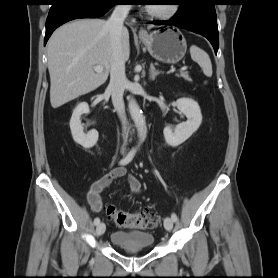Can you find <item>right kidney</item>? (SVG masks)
I'll return each instance as SVG.
<instances>
[{
	"label": "right kidney",
	"instance_id": "right-kidney-1",
	"mask_svg": "<svg viewBox=\"0 0 278 278\" xmlns=\"http://www.w3.org/2000/svg\"><path fill=\"white\" fill-rule=\"evenodd\" d=\"M89 113V106L86 102H82L76 106L70 119V129L73 140L85 149L92 148L98 140V132L92 130L87 134L84 133L81 124V115Z\"/></svg>",
	"mask_w": 278,
	"mask_h": 278
}]
</instances>
